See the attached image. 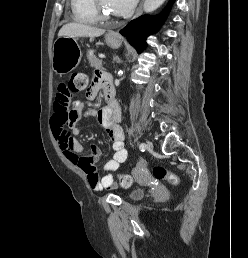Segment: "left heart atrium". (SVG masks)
I'll return each instance as SVG.
<instances>
[{
    "instance_id": "39dd6f15",
    "label": "left heart atrium",
    "mask_w": 248,
    "mask_h": 258,
    "mask_svg": "<svg viewBox=\"0 0 248 258\" xmlns=\"http://www.w3.org/2000/svg\"><path fill=\"white\" fill-rule=\"evenodd\" d=\"M109 9L116 15L128 14L135 6L137 0H107Z\"/></svg>"
}]
</instances>
